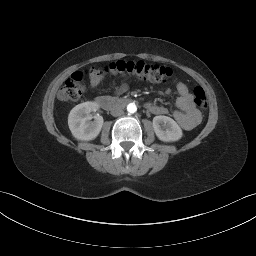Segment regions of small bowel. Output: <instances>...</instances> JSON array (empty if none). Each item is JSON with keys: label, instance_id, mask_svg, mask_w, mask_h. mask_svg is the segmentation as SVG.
I'll use <instances>...</instances> for the list:
<instances>
[{"label": "small bowel", "instance_id": "small-bowel-1", "mask_svg": "<svg viewBox=\"0 0 256 256\" xmlns=\"http://www.w3.org/2000/svg\"><path fill=\"white\" fill-rule=\"evenodd\" d=\"M175 89L178 97L176 105L178 110L173 113L175 121L185 130H191L195 128L201 121V113L196 108L193 97L188 89V86L179 81H174ZM128 90L126 83L121 84L116 89V94H122ZM148 110L153 114H167L168 110L160 105L149 103L147 104Z\"/></svg>", "mask_w": 256, "mask_h": 256}]
</instances>
